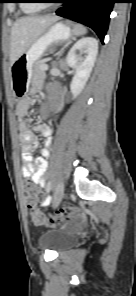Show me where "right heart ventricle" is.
Instances as JSON below:
<instances>
[{
  "label": "right heart ventricle",
  "mask_w": 136,
  "mask_h": 296,
  "mask_svg": "<svg viewBox=\"0 0 136 296\" xmlns=\"http://www.w3.org/2000/svg\"><path fill=\"white\" fill-rule=\"evenodd\" d=\"M21 10L25 14H34L41 10V6L38 3H35V0H23Z\"/></svg>",
  "instance_id": "obj_1"
}]
</instances>
